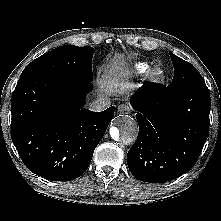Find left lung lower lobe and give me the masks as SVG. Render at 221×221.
<instances>
[{
    "label": "left lung lower lobe",
    "instance_id": "obj_1",
    "mask_svg": "<svg viewBox=\"0 0 221 221\" xmlns=\"http://www.w3.org/2000/svg\"><path fill=\"white\" fill-rule=\"evenodd\" d=\"M139 124L127 154L132 175L144 182H167L187 172L198 160L209 131L207 86L173 91L145 82L130 100Z\"/></svg>",
    "mask_w": 221,
    "mask_h": 221
}]
</instances>
